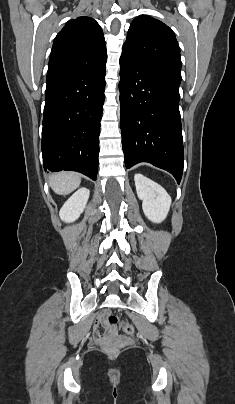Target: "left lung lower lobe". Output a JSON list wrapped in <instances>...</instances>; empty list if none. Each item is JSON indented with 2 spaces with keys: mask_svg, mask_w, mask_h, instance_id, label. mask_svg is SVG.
I'll use <instances>...</instances> for the list:
<instances>
[{
  "mask_svg": "<svg viewBox=\"0 0 235 404\" xmlns=\"http://www.w3.org/2000/svg\"><path fill=\"white\" fill-rule=\"evenodd\" d=\"M178 79L126 55L120 58V116L125 165L149 162L179 184L184 150Z\"/></svg>",
  "mask_w": 235,
  "mask_h": 404,
  "instance_id": "obj_1",
  "label": "left lung lower lobe"
}]
</instances>
